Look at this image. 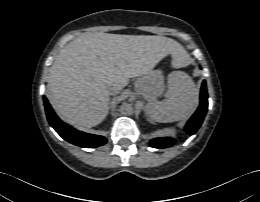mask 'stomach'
<instances>
[{
  "label": "stomach",
  "mask_w": 260,
  "mask_h": 202,
  "mask_svg": "<svg viewBox=\"0 0 260 202\" xmlns=\"http://www.w3.org/2000/svg\"><path fill=\"white\" fill-rule=\"evenodd\" d=\"M136 92L152 101L164 90V79L161 70H151L141 76L135 84Z\"/></svg>",
  "instance_id": "1"
}]
</instances>
